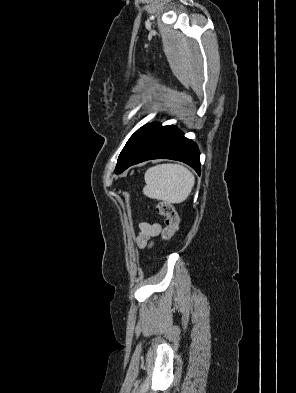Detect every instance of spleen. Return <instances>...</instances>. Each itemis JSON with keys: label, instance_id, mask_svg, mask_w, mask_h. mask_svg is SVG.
<instances>
[{"label": "spleen", "instance_id": "3e777b00", "mask_svg": "<svg viewBox=\"0 0 296 393\" xmlns=\"http://www.w3.org/2000/svg\"><path fill=\"white\" fill-rule=\"evenodd\" d=\"M145 182V196L178 204L189 196L195 177L185 166L167 163L149 168L145 173Z\"/></svg>", "mask_w": 296, "mask_h": 393}]
</instances>
